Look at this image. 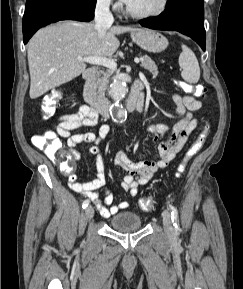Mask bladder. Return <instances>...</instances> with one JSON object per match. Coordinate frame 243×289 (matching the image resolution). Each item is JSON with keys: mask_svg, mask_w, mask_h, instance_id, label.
Returning <instances> with one entry per match:
<instances>
[{"mask_svg": "<svg viewBox=\"0 0 243 289\" xmlns=\"http://www.w3.org/2000/svg\"><path fill=\"white\" fill-rule=\"evenodd\" d=\"M112 229L127 232L140 229L142 226L141 217L131 211L117 213L110 219Z\"/></svg>", "mask_w": 243, "mask_h": 289, "instance_id": "bladder-1", "label": "bladder"}]
</instances>
